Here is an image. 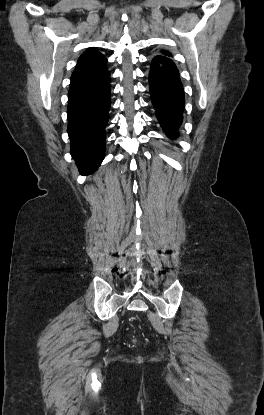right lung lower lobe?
Returning a JSON list of instances; mask_svg holds the SVG:
<instances>
[{
    "instance_id": "98d812e1",
    "label": "right lung lower lobe",
    "mask_w": 264,
    "mask_h": 415,
    "mask_svg": "<svg viewBox=\"0 0 264 415\" xmlns=\"http://www.w3.org/2000/svg\"><path fill=\"white\" fill-rule=\"evenodd\" d=\"M110 73L72 80L68 92L71 155L82 175L93 173L105 156V126L110 108Z\"/></svg>"
}]
</instances>
